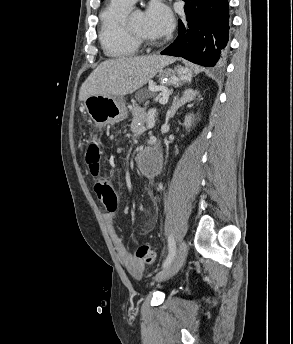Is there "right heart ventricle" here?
Instances as JSON below:
<instances>
[{
  "mask_svg": "<svg viewBox=\"0 0 293 344\" xmlns=\"http://www.w3.org/2000/svg\"><path fill=\"white\" fill-rule=\"evenodd\" d=\"M130 8L131 5L110 0L100 13L99 40L109 57L126 58L139 53V45L124 29V19Z\"/></svg>",
  "mask_w": 293,
  "mask_h": 344,
  "instance_id": "1",
  "label": "right heart ventricle"
}]
</instances>
